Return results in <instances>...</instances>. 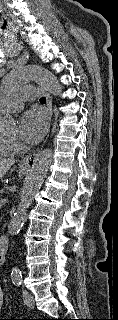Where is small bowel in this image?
<instances>
[{
  "mask_svg": "<svg viewBox=\"0 0 118 320\" xmlns=\"http://www.w3.org/2000/svg\"><path fill=\"white\" fill-rule=\"evenodd\" d=\"M3 305H4V294L0 284V312L3 309Z\"/></svg>",
  "mask_w": 118,
  "mask_h": 320,
  "instance_id": "c3829d8e",
  "label": "small bowel"
}]
</instances>
